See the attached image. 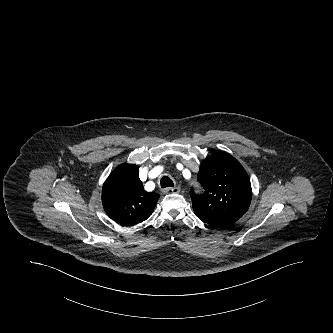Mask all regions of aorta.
I'll use <instances>...</instances> for the list:
<instances>
[{
  "label": "aorta",
  "instance_id": "aorta-1",
  "mask_svg": "<svg viewBox=\"0 0 333 333\" xmlns=\"http://www.w3.org/2000/svg\"><path fill=\"white\" fill-rule=\"evenodd\" d=\"M200 187V183L199 181H194V188H199Z\"/></svg>",
  "mask_w": 333,
  "mask_h": 333
}]
</instances>
